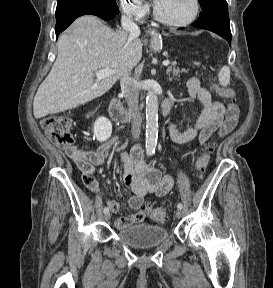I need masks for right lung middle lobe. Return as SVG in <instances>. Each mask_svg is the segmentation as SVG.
Listing matches in <instances>:
<instances>
[{"mask_svg": "<svg viewBox=\"0 0 273 288\" xmlns=\"http://www.w3.org/2000/svg\"><path fill=\"white\" fill-rule=\"evenodd\" d=\"M94 10L100 13L118 14L115 0H58L56 16L75 10Z\"/></svg>", "mask_w": 273, "mask_h": 288, "instance_id": "dd1d6c3e", "label": "right lung middle lobe"}]
</instances>
